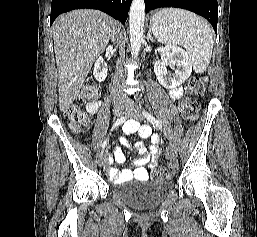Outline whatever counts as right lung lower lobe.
<instances>
[{
	"label": "right lung lower lobe",
	"instance_id": "98d812e1",
	"mask_svg": "<svg viewBox=\"0 0 257 237\" xmlns=\"http://www.w3.org/2000/svg\"><path fill=\"white\" fill-rule=\"evenodd\" d=\"M132 0H52L50 24L62 13L74 9H97L125 23Z\"/></svg>",
	"mask_w": 257,
	"mask_h": 237
}]
</instances>
